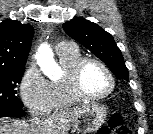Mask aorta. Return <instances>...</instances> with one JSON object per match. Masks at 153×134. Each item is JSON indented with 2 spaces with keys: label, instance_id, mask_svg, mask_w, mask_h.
<instances>
[{
  "label": "aorta",
  "instance_id": "obj_1",
  "mask_svg": "<svg viewBox=\"0 0 153 134\" xmlns=\"http://www.w3.org/2000/svg\"><path fill=\"white\" fill-rule=\"evenodd\" d=\"M37 63L42 72L52 78L58 69V65L54 60L53 52L48 44H42L38 49Z\"/></svg>",
  "mask_w": 153,
  "mask_h": 134
}]
</instances>
